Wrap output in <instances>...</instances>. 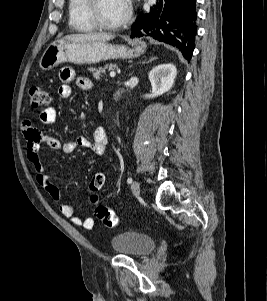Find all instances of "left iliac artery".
Instances as JSON below:
<instances>
[{"label": "left iliac artery", "mask_w": 267, "mask_h": 301, "mask_svg": "<svg viewBox=\"0 0 267 301\" xmlns=\"http://www.w3.org/2000/svg\"><path fill=\"white\" fill-rule=\"evenodd\" d=\"M127 182L130 184V183H132V178H128L127 179Z\"/></svg>", "instance_id": "44dca946"}]
</instances>
